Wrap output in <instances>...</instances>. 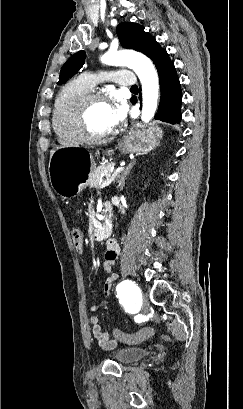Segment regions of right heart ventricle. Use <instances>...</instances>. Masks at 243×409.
<instances>
[{"mask_svg": "<svg viewBox=\"0 0 243 409\" xmlns=\"http://www.w3.org/2000/svg\"><path fill=\"white\" fill-rule=\"evenodd\" d=\"M90 91V87L81 78L66 83L55 98L52 111V126L58 141L67 146L78 145L82 139L78 135L71 117L75 100Z\"/></svg>", "mask_w": 243, "mask_h": 409, "instance_id": "obj_1", "label": "right heart ventricle"}]
</instances>
